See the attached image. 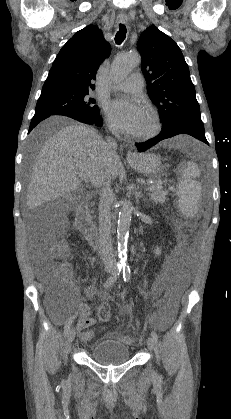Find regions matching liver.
Masks as SVG:
<instances>
[{
	"instance_id": "1",
	"label": "liver",
	"mask_w": 231,
	"mask_h": 419,
	"mask_svg": "<svg viewBox=\"0 0 231 419\" xmlns=\"http://www.w3.org/2000/svg\"><path fill=\"white\" fill-rule=\"evenodd\" d=\"M60 120L51 118L45 126ZM119 167L118 155H107L105 141L95 130L81 124L67 125L40 148L28 185L27 206L34 209L81 188L78 173L86 176V183L101 187L105 179L117 177Z\"/></svg>"
}]
</instances>
